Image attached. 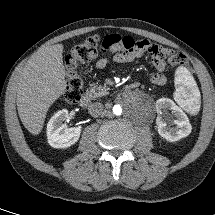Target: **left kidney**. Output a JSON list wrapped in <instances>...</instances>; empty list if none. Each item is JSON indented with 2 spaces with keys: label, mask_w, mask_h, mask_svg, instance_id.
Returning <instances> with one entry per match:
<instances>
[{
  "label": "left kidney",
  "mask_w": 215,
  "mask_h": 215,
  "mask_svg": "<svg viewBox=\"0 0 215 215\" xmlns=\"http://www.w3.org/2000/svg\"><path fill=\"white\" fill-rule=\"evenodd\" d=\"M168 110H171L172 115L176 118L172 121L176 125L175 127L167 126L163 119V117H165V120L171 122V119L167 113ZM156 111L159 115L156 119L158 133L162 138L166 139L167 141L174 142L187 137L191 133L192 127L187 115L171 99H158L156 101Z\"/></svg>",
  "instance_id": "1"
}]
</instances>
